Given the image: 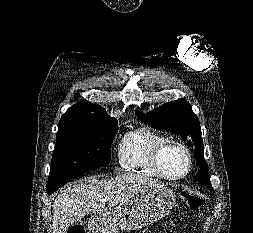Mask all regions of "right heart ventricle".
<instances>
[{"label": "right heart ventricle", "mask_w": 253, "mask_h": 233, "mask_svg": "<svg viewBox=\"0 0 253 233\" xmlns=\"http://www.w3.org/2000/svg\"><path fill=\"white\" fill-rule=\"evenodd\" d=\"M169 140L151 127L141 126L124 134L117 147L120 167L149 177H161L152 165L154 151Z\"/></svg>", "instance_id": "obj_1"}]
</instances>
